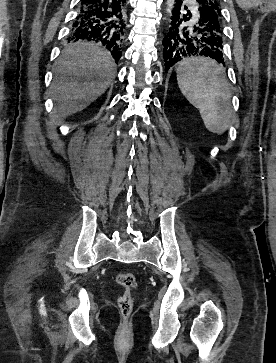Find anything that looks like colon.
I'll return each mask as SVG.
<instances>
[{
	"instance_id": "colon-1",
	"label": "colon",
	"mask_w": 276,
	"mask_h": 363,
	"mask_svg": "<svg viewBox=\"0 0 276 363\" xmlns=\"http://www.w3.org/2000/svg\"><path fill=\"white\" fill-rule=\"evenodd\" d=\"M116 282L123 289L117 301L118 310L123 318H128L133 309L134 291L137 287L136 278L130 272H120L116 275Z\"/></svg>"
}]
</instances>
